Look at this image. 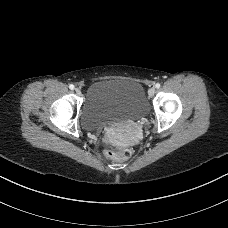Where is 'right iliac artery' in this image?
Wrapping results in <instances>:
<instances>
[{
	"label": "right iliac artery",
	"mask_w": 228,
	"mask_h": 228,
	"mask_svg": "<svg viewBox=\"0 0 228 228\" xmlns=\"http://www.w3.org/2000/svg\"><path fill=\"white\" fill-rule=\"evenodd\" d=\"M69 88H70L71 90H73L75 87H74L73 84H70V85H69Z\"/></svg>",
	"instance_id": "obj_1"
}]
</instances>
